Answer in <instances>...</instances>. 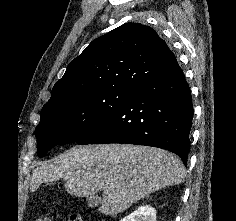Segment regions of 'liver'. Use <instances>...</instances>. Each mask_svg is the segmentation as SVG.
<instances>
[{"instance_id":"obj_1","label":"liver","mask_w":236,"mask_h":221,"mask_svg":"<svg viewBox=\"0 0 236 221\" xmlns=\"http://www.w3.org/2000/svg\"><path fill=\"white\" fill-rule=\"evenodd\" d=\"M185 176L181 160L160 148L87 145L73 147L35 168L30 189L63 179L65 190L76 197L102 191L99 212L114 216L161 188L179 185Z\"/></svg>"}]
</instances>
